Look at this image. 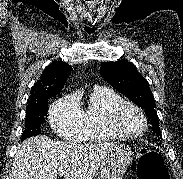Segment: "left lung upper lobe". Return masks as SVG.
I'll list each match as a JSON object with an SVG mask.
<instances>
[{
  "mask_svg": "<svg viewBox=\"0 0 183 179\" xmlns=\"http://www.w3.org/2000/svg\"><path fill=\"white\" fill-rule=\"evenodd\" d=\"M101 76L117 91L145 109L153 130L160 135L155 100L146 79L127 60L105 62L100 67Z\"/></svg>",
  "mask_w": 183,
  "mask_h": 179,
  "instance_id": "left-lung-upper-lobe-1",
  "label": "left lung upper lobe"
}]
</instances>
